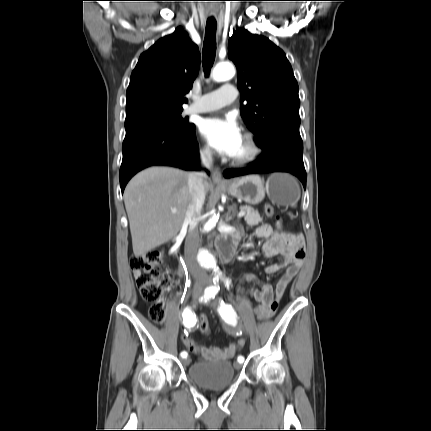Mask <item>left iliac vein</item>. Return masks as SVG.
I'll list each match as a JSON object with an SVG mask.
<instances>
[{
  "mask_svg": "<svg viewBox=\"0 0 431 431\" xmlns=\"http://www.w3.org/2000/svg\"><path fill=\"white\" fill-rule=\"evenodd\" d=\"M208 304H209L211 307H213V308H216V307H217V305H218V303H217V301H216V300L211 301V302H209ZM237 366H240V365L238 364Z\"/></svg>",
  "mask_w": 431,
  "mask_h": 431,
  "instance_id": "1",
  "label": "left iliac vein"
}]
</instances>
